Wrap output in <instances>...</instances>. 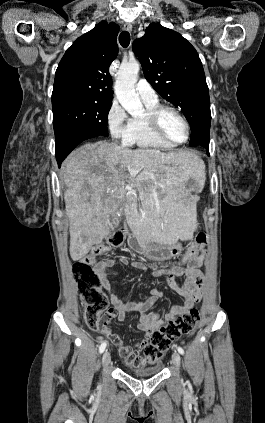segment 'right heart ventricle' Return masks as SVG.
Returning a JSON list of instances; mask_svg holds the SVG:
<instances>
[{
  "instance_id": "e07e8e85",
  "label": "right heart ventricle",
  "mask_w": 265,
  "mask_h": 423,
  "mask_svg": "<svg viewBox=\"0 0 265 423\" xmlns=\"http://www.w3.org/2000/svg\"><path fill=\"white\" fill-rule=\"evenodd\" d=\"M144 103L147 111L158 105V101H144ZM123 141L128 145L147 150L167 151L175 147L165 143L152 132L147 123L146 115L142 117H132L129 120Z\"/></svg>"
}]
</instances>
